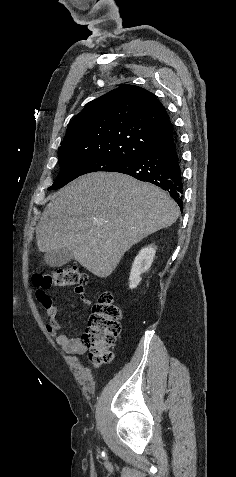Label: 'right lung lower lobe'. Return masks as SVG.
Instances as JSON below:
<instances>
[{
  "instance_id": "right-lung-lower-lobe-1",
  "label": "right lung lower lobe",
  "mask_w": 236,
  "mask_h": 477,
  "mask_svg": "<svg viewBox=\"0 0 236 477\" xmlns=\"http://www.w3.org/2000/svg\"><path fill=\"white\" fill-rule=\"evenodd\" d=\"M114 172L150 182L170 194L183 207V184L176 141L171 137L163 144L130 160Z\"/></svg>"
}]
</instances>
